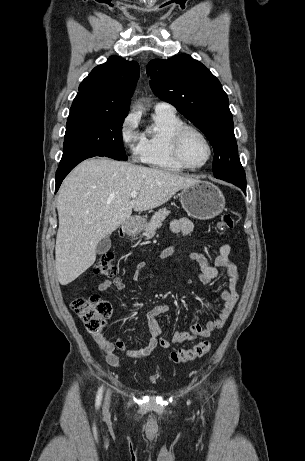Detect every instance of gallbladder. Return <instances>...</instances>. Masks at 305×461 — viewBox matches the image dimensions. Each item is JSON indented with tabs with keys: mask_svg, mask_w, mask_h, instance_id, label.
Masks as SVG:
<instances>
[{
	"mask_svg": "<svg viewBox=\"0 0 305 461\" xmlns=\"http://www.w3.org/2000/svg\"><path fill=\"white\" fill-rule=\"evenodd\" d=\"M110 248H111V239H110V236L107 235L99 241L97 248H96V252L97 254H104Z\"/></svg>",
	"mask_w": 305,
	"mask_h": 461,
	"instance_id": "gallbladder-1",
	"label": "gallbladder"
}]
</instances>
